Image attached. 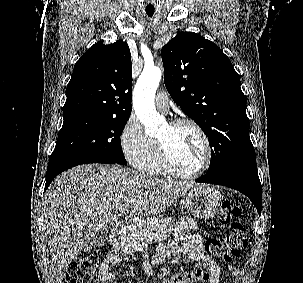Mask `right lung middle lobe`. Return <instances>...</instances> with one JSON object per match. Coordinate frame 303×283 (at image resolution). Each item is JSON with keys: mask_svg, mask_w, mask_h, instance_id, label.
Masks as SVG:
<instances>
[{"mask_svg": "<svg viewBox=\"0 0 303 283\" xmlns=\"http://www.w3.org/2000/svg\"><path fill=\"white\" fill-rule=\"evenodd\" d=\"M127 120L94 114L64 117L49 164L77 159H104L126 165L120 135Z\"/></svg>", "mask_w": 303, "mask_h": 283, "instance_id": "dd1d6c3e", "label": "right lung middle lobe"}]
</instances>
